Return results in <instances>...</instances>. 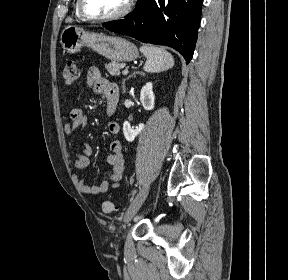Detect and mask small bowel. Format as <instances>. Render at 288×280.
<instances>
[{
    "label": "small bowel",
    "instance_id": "small-bowel-1",
    "mask_svg": "<svg viewBox=\"0 0 288 280\" xmlns=\"http://www.w3.org/2000/svg\"><path fill=\"white\" fill-rule=\"evenodd\" d=\"M87 84L95 93L103 94L106 98L105 112L108 115L113 113L109 110V103L118 100L119 91L116 84L101 76L97 67H91L87 73ZM88 123V115L81 107H76L70 112V121L64 124L66 134H73L75 131L84 128ZM108 131L114 137L119 134V125L116 122L108 123ZM75 151V168L78 171L84 170L89 164L91 148L87 144L81 146L80 151L75 150L76 144L70 143ZM110 154L107 156V162L112 166V172L109 179L102 181L98 185H90L84 181L78 174L74 176V181L80 192L88 195H101L106 193L111 187H118L125 174V160L122 154V143L118 138H114L109 144Z\"/></svg>",
    "mask_w": 288,
    "mask_h": 280
}]
</instances>
